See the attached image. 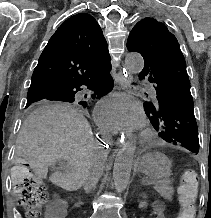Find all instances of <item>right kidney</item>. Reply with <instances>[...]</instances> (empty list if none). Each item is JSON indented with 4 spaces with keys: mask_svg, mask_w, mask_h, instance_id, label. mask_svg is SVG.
Masks as SVG:
<instances>
[{
    "mask_svg": "<svg viewBox=\"0 0 211 218\" xmlns=\"http://www.w3.org/2000/svg\"><path fill=\"white\" fill-rule=\"evenodd\" d=\"M53 198H60V193H53ZM65 201H49L47 218H66L67 206Z\"/></svg>",
    "mask_w": 211,
    "mask_h": 218,
    "instance_id": "obj_1",
    "label": "right kidney"
}]
</instances>
